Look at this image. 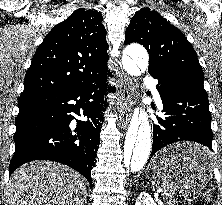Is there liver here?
<instances>
[{"instance_id": "6515ba94", "label": "liver", "mask_w": 222, "mask_h": 205, "mask_svg": "<svg viewBox=\"0 0 222 205\" xmlns=\"http://www.w3.org/2000/svg\"><path fill=\"white\" fill-rule=\"evenodd\" d=\"M84 178L73 169L50 161L27 163L12 174L10 205H84Z\"/></svg>"}]
</instances>
